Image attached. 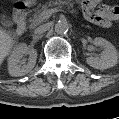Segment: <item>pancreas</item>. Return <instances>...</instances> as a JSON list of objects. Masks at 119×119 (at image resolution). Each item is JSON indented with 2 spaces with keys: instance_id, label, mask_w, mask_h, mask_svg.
<instances>
[{
  "instance_id": "cf45deb5",
  "label": "pancreas",
  "mask_w": 119,
  "mask_h": 119,
  "mask_svg": "<svg viewBox=\"0 0 119 119\" xmlns=\"http://www.w3.org/2000/svg\"><path fill=\"white\" fill-rule=\"evenodd\" d=\"M70 5L71 4L68 0H55V1H50L48 4L42 5L39 8L33 9L32 12H34V14L29 19V21L31 22L30 27L33 28L38 24H40L41 22H43V20L40 19V14L43 11L48 10V8L55 7V6H59L60 8H62L64 6H70Z\"/></svg>"
}]
</instances>
